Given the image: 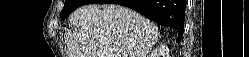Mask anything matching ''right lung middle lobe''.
Segmentation results:
<instances>
[{
    "instance_id": "right-lung-middle-lobe-1",
    "label": "right lung middle lobe",
    "mask_w": 249,
    "mask_h": 57,
    "mask_svg": "<svg viewBox=\"0 0 249 57\" xmlns=\"http://www.w3.org/2000/svg\"><path fill=\"white\" fill-rule=\"evenodd\" d=\"M92 0H65L63 10L60 13L62 20L66 19L76 8L90 4Z\"/></svg>"
}]
</instances>
